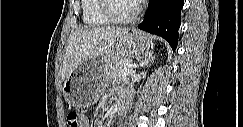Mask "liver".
<instances>
[{
    "mask_svg": "<svg viewBox=\"0 0 243 127\" xmlns=\"http://www.w3.org/2000/svg\"><path fill=\"white\" fill-rule=\"evenodd\" d=\"M128 31V28L82 27L72 32L63 58L61 80L64 81L84 61L109 50Z\"/></svg>",
    "mask_w": 243,
    "mask_h": 127,
    "instance_id": "6515ba94",
    "label": "liver"
}]
</instances>
